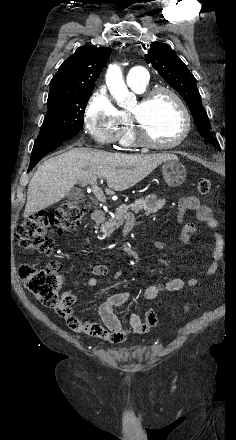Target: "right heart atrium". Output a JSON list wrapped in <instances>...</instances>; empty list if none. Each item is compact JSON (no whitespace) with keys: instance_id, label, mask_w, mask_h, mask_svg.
<instances>
[{"instance_id":"1","label":"right heart atrium","mask_w":236,"mask_h":440,"mask_svg":"<svg viewBox=\"0 0 236 440\" xmlns=\"http://www.w3.org/2000/svg\"><path fill=\"white\" fill-rule=\"evenodd\" d=\"M83 123L87 134L97 144L112 146L118 141V110L104 87L97 88L90 95L84 109Z\"/></svg>"}]
</instances>
